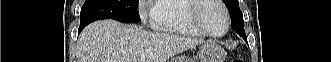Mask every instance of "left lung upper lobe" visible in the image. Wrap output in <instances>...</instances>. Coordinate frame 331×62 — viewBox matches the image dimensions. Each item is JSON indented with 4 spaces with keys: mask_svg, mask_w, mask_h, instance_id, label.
Listing matches in <instances>:
<instances>
[{
    "mask_svg": "<svg viewBox=\"0 0 331 62\" xmlns=\"http://www.w3.org/2000/svg\"><path fill=\"white\" fill-rule=\"evenodd\" d=\"M226 5L230 16H231V23H235L237 26L242 27L244 29V21L243 15L239 8L238 0H222Z\"/></svg>",
    "mask_w": 331,
    "mask_h": 62,
    "instance_id": "1",
    "label": "left lung upper lobe"
}]
</instances>
